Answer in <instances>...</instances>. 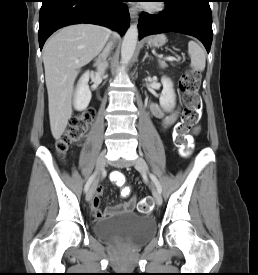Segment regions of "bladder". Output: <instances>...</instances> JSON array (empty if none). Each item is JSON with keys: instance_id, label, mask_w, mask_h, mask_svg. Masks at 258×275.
<instances>
[{"instance_id": "bladder-1", "label": "bladder", "mask_w": 258, "mask_h": 275, "mask_svg": "<svg viewBox=\"0 0 258 275\" xmlns=\"http://www.w3.org/2000/svg\"><path fill=\"white\" fill-rule=\"evenodd\" d=\"M93 231L95 236L102 239H126L134 244H142L155 235L156 222L150 216L124 212L96 220Z\"/></svg>"}]
</instances>
